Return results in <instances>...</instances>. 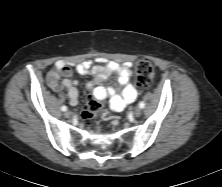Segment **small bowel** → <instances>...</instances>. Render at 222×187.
I'll return each instance as SVG.
<instances>
[{
  "instance_id": "1",
  "label": "small bowel",
  "mask_w": 222,
  "mask_h": 187,
  "mask_svg": "<svg viewBox=\"0 0 222 187\" xmlns=\"http://www.w3.org/2000/svg\"><path fill=\"white\" fill-rule=\"evenodd\" d=\"M99 65H94L92 61L87 60L76 65L75 70L82 75L89 74L94 77L87 83L88 90L93 96L100 100H109L110 108L114 111L123 110L128 104L134 102L138 96L136 88L130 83L133 75V65L130 62L118 63L103 58L95 60ZM56 70L64 75L63 80L51 73L48 74L47 83L55 91L67 90V95L71 105L78 104L79 91L78 82L70 78L72 71L69 65L64 61L55 63ZM112 73L118 75V85L116 87H105L97 85L98 82L108 78Z\"/></svg>"
}]
</instances>
